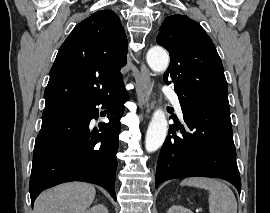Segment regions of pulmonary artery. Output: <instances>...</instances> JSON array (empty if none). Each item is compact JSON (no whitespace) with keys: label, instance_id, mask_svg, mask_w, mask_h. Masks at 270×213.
Returning a JSON list of instances; mask_svg holds the SVG:
<instances>
[{"label":"pulmonary artery","instance_id":"1","mask_svg":"<svg viewBox=\"0 0 270 213\" xmlns=\"http://www.w3.org/2000/svg\"><path fill=\"white\" fill-rule=\"evenodd\" d=\"M162 91L164 94H166L167 96L170 97L178 115L182 116V110H181V106H180L179 96L173 90H171L170 87H168V86H163Z\"/></svg>","mask_w":270,"mask_h":213}]
</instances>
